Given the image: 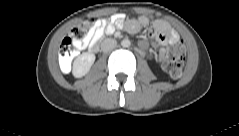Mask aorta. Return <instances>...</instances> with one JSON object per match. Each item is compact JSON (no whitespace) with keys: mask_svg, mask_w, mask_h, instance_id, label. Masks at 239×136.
Returning <instances> with one entry per match:
<instances>
[{"mask_svg":"<svg viewBox=\"0 0 239 136\" xmlns=\"http://www.w3.org/2000/svg\"><path fill=\"white\" fill-rule=\"evenodd\" d=\"M121 45H122V47H124V48H128V47L131 45L130 40H129V39H123V40L121 41Z\"/></svg>","mask_w":239,"mask_h":136,"instance_id":"aorta-1","label":"aorta"}]
</instances>
